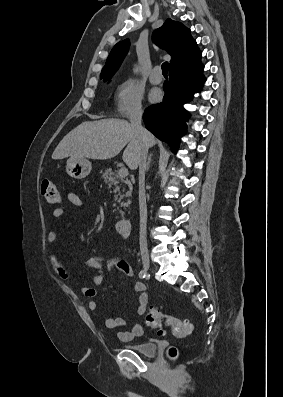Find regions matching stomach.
<instances>
[{"label": "stomach", "instance_id": "obj_1", "mask_svg": "<svg viewBox=\"0 0 283 397\" xmlns=\"http://www.w3.org/2000/svg\"><path fill=\"white\" fill-rule=\"evenodd\" d=\"M91 171V163L85 158L70 157L66 163V172L75 179L85 178Z\"/></svg>", "mask_w": 283, "mask_h": 397}]
</instances>
